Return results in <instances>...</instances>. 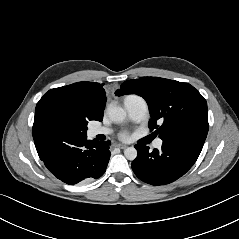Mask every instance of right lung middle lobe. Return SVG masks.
<instances>
[{
  "instance_id": "1",
  "label": "right lung middle lobe",
  "mask_w": 239,
  "mask_h": 239,
  "mask_svg": "<svg viewBox=\"0 0 239 239\" xmlns=\"http://www.w3.org/2000/svg\"><path fill=\"white\" fill-rule=\"evenodd\" d=\"M87 123L63 105H43L32 128L34 140L49 146L71 136L86 135Z\"/></svg>"
}]
</instances>
